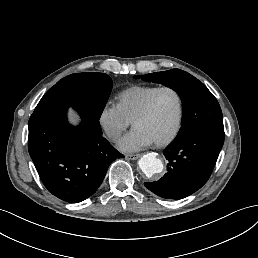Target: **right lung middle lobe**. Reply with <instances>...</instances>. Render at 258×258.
<instances>
[{
    "label": "right lung middle lobe",
    "mask_w": 258,
    "mask_h": 258,
    "mask_svg": "<svg viewBox=\"0 0 258 258\" xmlns=\"http://www.w3.org/2000/svg\"><path fill=\"white\" fill-rule=\"evenodd\" d=\"M63 83L79 84L90 88L89 109L94 116H96L97 118H100L112 89V81L107 74L105 73L71 74L64 77L60 81H58L56 85L63 84Z\"/></svg>",
    "instance_id": "obj_1"
}]
</instances>
